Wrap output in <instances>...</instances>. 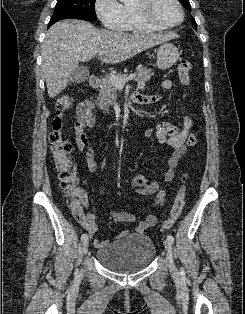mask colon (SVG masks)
<instances>
[{"label":"colon","mask_w":245,"mask_h":314,"mask_svg":"<svg viewBox=\"0 0 245 314\" xmlns=\"http://www.w3.org/2000/svg\"><path fill=\"white\" fill-rule=\"evenodd\" d=\"M192 65L188 60H182L178 65V74L182 84H189ZM74 105V98L69 93L61 94L55 102L56 117L53 121V130L50 134V150L53 156L55 169L61 188L65 191L70 207L75 217L82 223H86L85 216L81 210L82 195L77 189L76 168L70 158L72 150L71 143L66 139L63 133V116L66 111ZM187 176L183 178L184 184ZM185 204V185H182L175 198L170 216L161 225V230L170 229L176 220L180 217Z\"/></svg>","instance_id":"5ec220e1"}]
</instances>
